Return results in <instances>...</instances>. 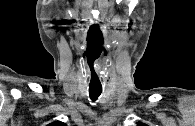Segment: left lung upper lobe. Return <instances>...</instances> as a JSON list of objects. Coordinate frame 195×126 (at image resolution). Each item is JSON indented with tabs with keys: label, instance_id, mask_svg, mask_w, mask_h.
I'll use <instances>...</instances> for the list:
<instances>
[{
	"label": "left lung upper lobe",
	"instance_id": "5c2ea615",
	"mask_svg": "<svg viewBox=\"0 0 195 126\" xmlns=\"http://www.w3.org/2000/svg\"><path fill=\"white\" fill-rule=\"evenodd\" d=\"M137 125L138 126H145V124H143V123H138Z\"/></svg>",
	"mask_w": 195,
	"mask_h": 126
}]
</instances>
